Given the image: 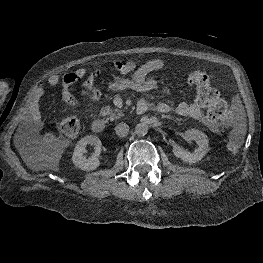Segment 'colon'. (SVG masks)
<instances>
[{
  "instance_id": "obj_1",
  "label": "colon",
  "mask_w": 263,
  "mask_h": 263,
  "mask_svg": "<svg viewBox=\"0 0 263 263\" xmlns=\"http://www.w3.org/2000/svg\"><path fill=\"white\" fill-rule=\"evenodd\" d=\"M119 69L122 65H117ZM190 85L197 90L198 101L207 109L208 116L214 120L228 122L232 117V111L226 101L220 98L218 91L211 86L209 75L201 70L190 73L187 77ZM61 131L68 137H76L80 131V123L73 116L65 117L60 123ZM225 145L229 152L237 153L242 145V133L234 130L225 139Z\"/></svg>"
}]
</instances>
